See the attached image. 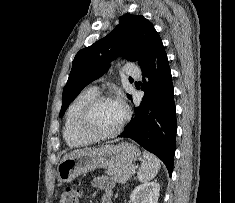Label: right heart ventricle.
I'll return each mask as SVG.
<instances>
[{
	"label": "right heart ventricle",
	"mask_w": 235,
	"mask_h": 203,
	"mask_svg": "<svg viewBox=\"0 0 235 203\" xmlns=\"http://www.w3.org/2000/svg\"><path fill=\"white\" fill-rule=\"evenodd\" d=\"M96 95L97 90L95 88L84 89L69 105L63 130L64 140L69 146L80 147L93 141L80 132L79 119L85 105Z\"/></svg>",
	"instance_id": "e07e8e85"
}]
</instances>
